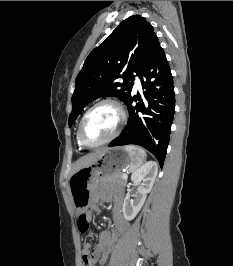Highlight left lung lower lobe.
I'll use <instances>...</instances> for the list:
<instances>
[{
    "label": "left lung lower lobe",
    "mask_w": 233,
    "mask_h": 266,
    "mask_svg": "<svg viewBox=\"0 0 233 266\" xmlns=\"http://www.w3.org/2000/svg\"><path fill=\"white\" fill-rule=\"evenodd\" d=\"M139 77L145 89L144 99L138 95V99L130 97L125 103L130 115L128 124L109 146L140 145L153 153L162 167L175 113V92L171 70L160 44L149 55ZM133 100L139 101L136 106H132Z\"/></svg>",
    "instance_id": "obj_1"
}]
</instances>
